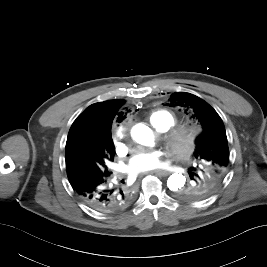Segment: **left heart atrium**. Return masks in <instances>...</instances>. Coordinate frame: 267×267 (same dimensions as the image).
<instances>
[{
	"label": "left heart atrium",
	"instance_id": "left-heart-atrium-1",
	"mask_svg": "<svg viewBox=\"0 0 267 267\" xmlns=\"http://www.w3.org/2000/svg\"><path fill=\"white\" fill-rule=\"evenodd\" d=\"M163 152L161 150L142 151L134 154L126 165V173L138 176L155 171L163 166Z\"/></svg>",
	"mask_w": 267,
	"mask_h": 267
}]
</instances>
